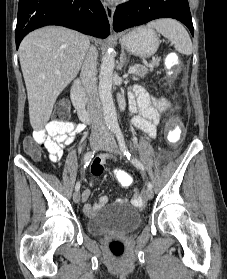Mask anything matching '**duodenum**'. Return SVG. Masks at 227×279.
<instances>
[{"mask_svg": "<svg viewBox=\"0 0 227 279\" xmlns=\"http://www.w3.org/2000/svg\"><path fill=\"white\" fill-rule=\"evenodd\" d=\"M70 93L81 121L85 124L90 123V108L82 84L80 82H74L71 85Z\"/></svg>", "mask_w": 227, "mask_h": 279, "instance_id": "obj_1", "label": "duodenum"}]
</instances>
